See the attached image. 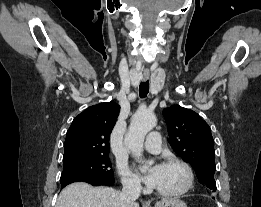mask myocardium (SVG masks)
Here are the masks:
<instances>
[{
	"instance_id": "f54148a6",
	"label": "myocardium",
	"mask_w": 261,
	"mask_h": 207,
	"mask_svg": "<svg viewBox=\"0 0 261 207\" xmlns=\"http://www.w3.org/2000/svg\"><path fill=\"white\" fill-rule=\"evenodd\" d=\"M163 165L180 166L185 172L186 180H185L184 185L178 190L163 191V190L155 188V191L159 195L164 196V197H179V196L186 194L192 188L193 181H194V175H193V171H192L191 167L185 161L180 160V159H176V158L167 159L163 163Z\"/></svg>"
}]
</instances>
